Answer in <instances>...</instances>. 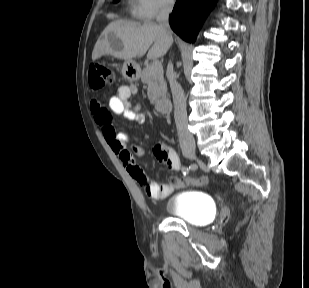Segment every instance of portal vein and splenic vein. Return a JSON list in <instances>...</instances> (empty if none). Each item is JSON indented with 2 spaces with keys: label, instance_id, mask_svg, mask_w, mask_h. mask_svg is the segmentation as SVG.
I'll use <instances>...</instances> for the list:
<instances>
[{
  "label": "portal vein and splenic vein",
  "instance_id": "portal-vein-and-splenic-vein-1",
  "mask_svg": "<svg viewBox=\"0 0 309 288\" xmlns=\"http://www.w3.org/2000/svg\"><path fill=\"white\" fill-rule=\"evenodd\" d=\"M152 69H160V68H162V65H161V63L159 62V61H153L152 62Z\"/></svg>",
  "mask_w": 309,
  "mask_h": 288
}]
</instances>
